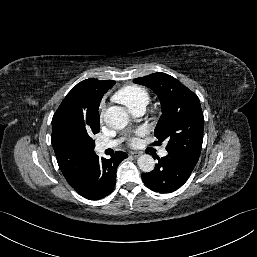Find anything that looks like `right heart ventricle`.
Listing matches in <instances>:
<instances>
[{
    "label": "right heart ventricle",
    "instance_id": "1",
    "mask_svg": "<svg viewBox=\"0 0 257 257\" xmlns=\"http://www.w3.org/2000/svg\"><path fill=\"white\" fill-rule=\"evenodd\" d=\"M114 99L124 104L129 111L145 108L150 101L149 91L140 85H128L121 88L114 95Z\"/></svg>",
    "mask_w": 257,
    "mask_h": 257
}]
</instances>
